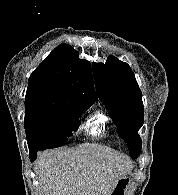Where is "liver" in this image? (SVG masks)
I'll use <instances>...</instances> for the list:
<instances>
[{"label": "liver", "instance_id": "6515ba94", "mask_svg": "<svg viewBox=\"0 0 178 195\" xmlns=\"http://www.w3.org/2000/svg\"><path fill=\"white\" fill-rule=\"evenodd\" d=\"M128 159L97 144L41 153L34 171L40 195H111Z\"/></svg>", "mask_w": 178, "mask_h": 195}]
</instances>
